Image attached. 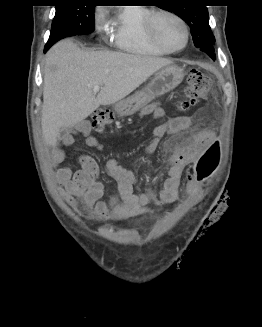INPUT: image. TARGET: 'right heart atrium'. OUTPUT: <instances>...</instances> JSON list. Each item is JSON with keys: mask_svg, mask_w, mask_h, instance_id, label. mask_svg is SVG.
<instances>
[{"mask_svg": "<svg viewBox=\"0 0 262 327\" xmlns=\"http://www.w3.org/2000/svg\"><path fill=\"white\" fill-rule=\"evenodd\" d=\"M95 26L98 29H101L103 27V17L100 14H96L95 16Z\"/></svg>", "mask_w": 262, "mask_h": 327, "instance_id": "right-heart-atrium-1", "label": "right heart atrium"}]
</instances>
